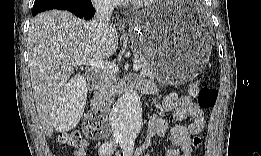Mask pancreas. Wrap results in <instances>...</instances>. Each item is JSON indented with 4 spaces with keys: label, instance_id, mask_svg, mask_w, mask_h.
Listing matches in <instances>:
<instances>
[{
    "label": "pancreas",
    "instance_id": "obj_1",
    "mask_svg": "<svg viewBox=\"0 0 261 156\" xmlns=\"http://www.w3.org/2000/svg\"><path fill=\"white\" fill-rule=\"evenodd\" d=\"M134 62L140 64L141 67L139 70L142 74L149 77H155L154 69L144 55L136 52L134 54ZM118 79L119 75L117 72L103 71L100 74V81L96 87L94 101L99 104H104L109 101L115 92Z\"/></svg>",
    "mask_w": 261,
    "mask_h": 156
}]
</instances>
